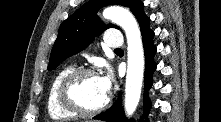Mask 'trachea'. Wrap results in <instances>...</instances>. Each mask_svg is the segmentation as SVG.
Masks as SVG:
<instances>
[{"label":"trachea","mask_w":221,"mask_h":122,"mask_svg":"<svg viewBox=\"0 0 221 122\" xmlns=\"http://www.w3.org/2000/svg\"><path fill=\"white\" fill-rule=\"evenodd\" d=\"M119 50H121V49H115V51H119Z\"/></svg>","instance_id":"obj_1"}]
</instances>
